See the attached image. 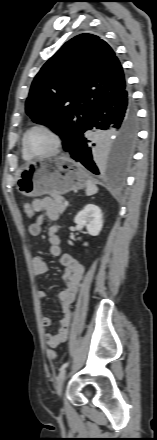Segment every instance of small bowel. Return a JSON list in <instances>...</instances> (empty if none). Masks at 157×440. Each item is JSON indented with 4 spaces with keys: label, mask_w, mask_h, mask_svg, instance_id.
<instances>
[{
    "label": "small bowel",
    "mask_w": 157,
    "mask_h": 440,
    "mask_svg": "<svg viewBox=\"0 0 157 440\" xmlns=\"http://www.w3.org/2000/svg\"><path fill=\"white\" fill-rule=\"evenodd\" d=\"M32 208L35 214H37L34 222L29 226V233L37 237L41 234L42 225L44 222L43 212L50 220H57L59 217V210L55 201L51 198L36 199L32 203ZM48 241L50 244V253L54 257H58L60 264L64 268L62 279L64 282V288L58 293V299L60 301L62 318L59 322V330L56 334L46 332L44 334L45 342L51 348H56L60 344L67 340L68 329L71 321V306L75 300L80 288L81 281L83 279L84 268L83 266L70 254L62 253L61 239L58 234V228L52 225L48 228ZM33 271L36 276L45 274L48 270L46 262L40 257H34L32 259ZM39 298L44 299L46 294L40 290ZM41 323L44 327H48L51 321L48 317L44 316L41 319Z\"/></svg>",
    "instance_id": "1"
}]
</instances>
